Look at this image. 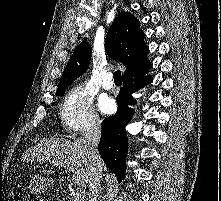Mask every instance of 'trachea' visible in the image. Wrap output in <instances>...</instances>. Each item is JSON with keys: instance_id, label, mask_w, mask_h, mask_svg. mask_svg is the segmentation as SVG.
Instances as JSON below:
<instances>
[{"instance_id": "3493384b", "label": "trachea", "mask_w": 221, "mask_h": 201, "mask_svg": "<svg viewBox=\"0 0 221 201\" xmlns=\"http://www.w3.org/2000/svg\"><path fill=\"white\" fill-rule=\"evenodd\" d=\"M113 78H114V82H115V83H122V77H121V72H120V70H117V71L113 74Z\"/></svg>"}]
</instances>
